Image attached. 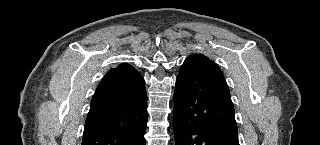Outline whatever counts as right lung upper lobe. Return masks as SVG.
Segmentation results:
<instances>
[{"label":"right lung upper lobe","mask_w":320,"mask_h":145,"mask_svg":"<svg viewBox=\"0 0 320 145\" xmlns=\"http://www.w3.org/2000/svg\"><path fill=\"white\" fill-rule=\"evenodd\" d=\"M141 77L133 66L125 63L109 70L93 95L88 115L112 107L113 104L120 101L122 94L119 91Z\"/></svg>","instance_id":"obj_1"}]
</instances>
